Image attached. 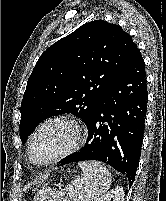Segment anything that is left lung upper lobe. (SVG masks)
Returning <instances> with one entry per match:
<instances>
[{"label": "left lung upper lobe", "instance_id": "left-lung-upper-lobe-1", "mask_svg": "<svg viewBox=\"0 0 166 201\" xmlns=\"http://www.w3.org/2000/svg\"><path fill=\"white\" fill-rule=\"evenodd\" d=\"M137 49L121 27L103 20L88 22L49 47L23 95L22 143L38 123L55 115L72 113L87 125Z\"/></svg>", "mask_w": 166, "mask_h": 201}]
</instances>
